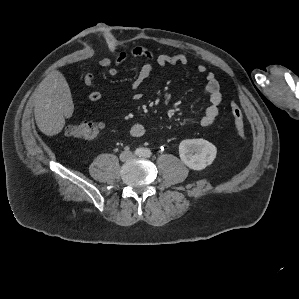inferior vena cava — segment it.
Here are the masks:
<instances>
[{"instance_id":"obj_1","label":"inferior vena cava","mask_w":299,"mask_h":299,"mask_svg":"<svg viewBox=\"0 0 299 299\" xmlns=\"http://www.w3.org/2000/svg\"><path fill=\"white\" fill-rule=\"evenodd\" d=\"M134 155L129 151H124L121 153L120 158L122 161L128 160L132 158Z\"/></svg>"}]
</instances>
